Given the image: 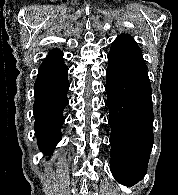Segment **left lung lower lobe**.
<instances>
[{"mask_svg":"<svg viewBox=\"0 0 178 195\" xmlns=\"http://www.w3.org/2000/svg\"><path fill=\"white\" fill-rule=\"evenodd\" d=\"M107 102L111 127V172L131 186L147 172L153 144L151 84L144 60L108 54Z\"/></svg>","mask_w":178,"mask_h":195,"instance_id":"0a47b994","label":"left lung lower lobe"}]
</instances>
